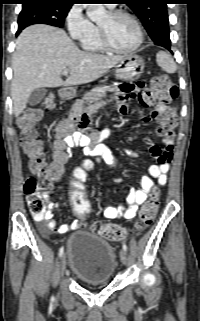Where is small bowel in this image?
<instances>
[{
  "label": "small bowel",
  "mask_w": 200,
  "mask_h": 321,
  "mask_svg": "<svg viewBox=\"0 0 200 321\" xmlns=\"http://www.w3.org/2000/svg\"><path fill=\"white\" fill-rule=\"evenodd\" d=\"M146 89V83L138 82H117V85L111 87V91H114L117 97L114 100V103L117 105L122 103L125 107L126 105L123 104V102H129L132 96H142V90ZM100 98L101 96L91 99L100 100ZM79 109L80 104L75 107V111H79ZM166 115L167 113L163 105L154 104L153 111L149 115L143 116L142 119L144 122H151L154 120L160 121L162 126L158 128L156 132L158 135L164 136L163 122ZM69 130L70 128L67 130L60 129V139L55 143V150L53 153V158H60L62 173L63 165L68 157L66 147L81 148L84 154L88 156L110 158V153L102 145V142L108 138L111 133L109 128H104L102 130H88L85 132L73 131L68 133ZM144 142L149 146L150 154L157 160V163L152 164L148 169V174L141 177L140 186L138 188H130L126 198V206L109 205L104 208L103 216L107 219H133L137 214L139 206L143 204L149 196L154 194L153 178L156 179L160 185H164L167 182V173L170 167L169 163L172 158V156H168V152L170 151L172 153L173 151V137L168 138L164 136L165 149H161L149 138H145ZM126 153L130 156L137 157V154L132 150H126ZM77 172H82V170H76L75 175ZM61 176L56 181H59ZM114 181L116 183L120 182L118 178H115ZM46 201L48 207L47 213L43 217L36 218L37 221L43 223L40 226V229L44 234H65L71 230L79 228L80 224L78 221L57 226L52 218L51 210L57 208L58 204L56 202H52L48 195H46Z\"/></svg>",
  "instance_id": "c3829d8e"
}]
</instances>
